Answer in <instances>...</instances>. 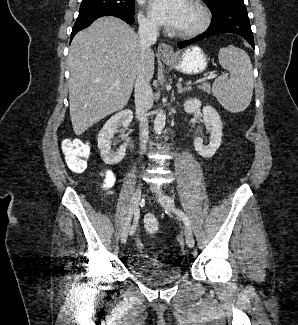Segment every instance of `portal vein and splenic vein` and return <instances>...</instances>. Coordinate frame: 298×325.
<instances>
[{"label": "portal vein and splenic vein", "mask_w": 298, "mask_h": 325, "mask_svg": "<svg viewBox=\"0 0 298 325\" xmlns=\"http://www.w3.org/2000/svg\"><path fill=\"white\" fill-rule=\"evenodd\" d=\"M218 74H209V76H204V78H199V80H195V82H188V84H196V82H203V80H208V78H215ZM121 80H116L115 84H118Z\"/></svg>", "instance_id": "1"}]
</instances>
